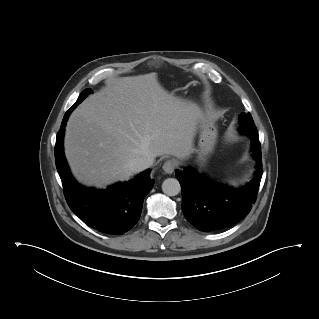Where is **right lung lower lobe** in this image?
<instances>
[{
	"label": "right lung lower lobe",
	"mask_w": 319,
	"mask_h": 319,
	"mask_svg": "<svg viewBox=\"0 0 319 319\" xmlns=\"http://www.w3.org/2000/svg\"><path fill=\"white\" fill-rule=\"evenodd\" d=\"M75 103L65 114L55 145L56 167L70 209L88 226L112 235L129 231L139 220L145 196L154 185L150 170L135 179L110 186L107 190L88 189L72 177L63 152L66 121Z\"/></svg>",
	"instance_id": "right-lung-lower-lobe-1"
}]
</instances>
